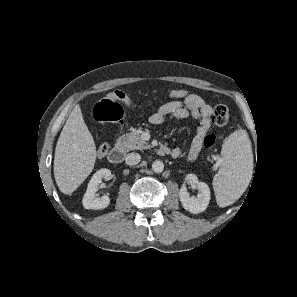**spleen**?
I'll use <instances>...</instances> for the list:
<instances>
[{
  "label": "spleen",
  "mask_w": 297,
  "mask_h": 297,
  "mask_svg": "<svg viewBox=\"0 0 297 297\" xmlns=\"http://www.w3.org/2000/svg\"><path fill=\"white\" fill-rule=\"evenodd\" d=\"M223 163L213 186L218 198L230 202L238 199L246 189L253 169V153L247 132L237 129L222 147Z\"/></svg>",
  "instance_id": "1"
}]
</instances>
